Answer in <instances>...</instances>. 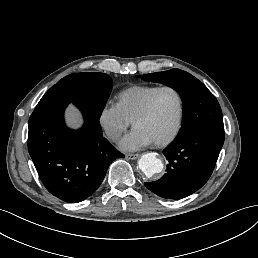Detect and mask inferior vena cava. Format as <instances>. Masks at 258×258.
Wrapping results in <instances>:
<instances>
[{
  "label": "inferior vena cava",
  "instance_id": "inferior-vena-cava-1",
  "mask_svg": "<svg viewBox=\"0 0 258 258\" xmlns=\"http://www.w3.org/2000/svg\"><path fill=\"white\" fill-rule=\"evenodd\" d=\"M106 135H107L109 138H111V139H116V138L119 137V135L116 134V133L114 132V130H112V129H107V130H106Z\"/></svg>",
  "mask_w": 258,
  "mask_h": 258
}]
</instances>
